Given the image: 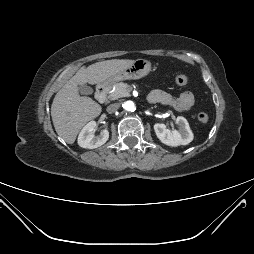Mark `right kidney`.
I'll return each instance as SVG.
<instances>
[{"instance_id": "1", "label": "right kidney", "mask_w": 254, "mask_h": 254, "mask_svg": "<svg viewBox=\"0 0 254 254\" xmlns=\"http://www.w3.org/2000/svg\"><path fill=\"white\" fill-rule=\"evenodd\" d=\"M97 127L96 121H90L81 130L78 136V145L82 148L94 149L105 144L109 138L108 130H102L98 135L94 134Z\"/></svg>"}]
</instances>
